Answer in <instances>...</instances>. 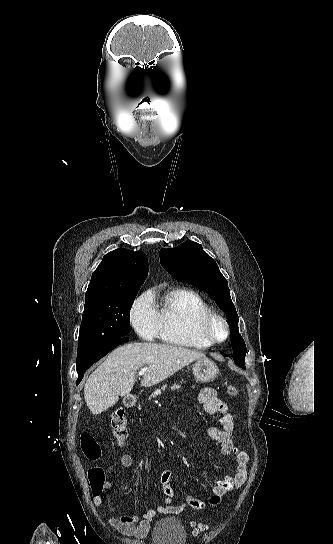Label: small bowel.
I'll use <instances>...</instances> for the list:
<instances>
[{"label":"small bowel","instance_id":"1","mask_svg":"<svg viewBox=\"0 0 333 544\" xmlns=\"http://www.w3.org/2000/svg\"><path fill=\"white\" fill-rule=\"evenodd\" d=\"M197 401L201 405L203 412L206 414H222L220 427H210L207 433L209 437L219 445L223 455L235 456L236 467L234 472L224 476L216 482L212 489V495L209 498L203 500L193 495H189L184 503L174 505L175 490L171 484L172 471L169 469L163 470L160 474L162 491L165 495L163 505L154 509H149L141 515H118L109 518V523L120 533L142 539L147 535L151 521L158 514H179L186 506L195 510L206 511L217 506L226 493L239 488L247 480L249 456L245 451L234 444L232 438L234 420L229 412L228 405L218 398L217 392L214 389L207 387L201 389ZM118 464L123 468H130L133 464V458L129 454H124L120 457ZM114 468L115 464L110 465L107 469V473L111 474ZM110 489L111 484L106 482L101 491L93 492V502L97 507L102 505L103 498Z\"/></svg>","mask_w":333,"mask_h":544}]
</instances>
